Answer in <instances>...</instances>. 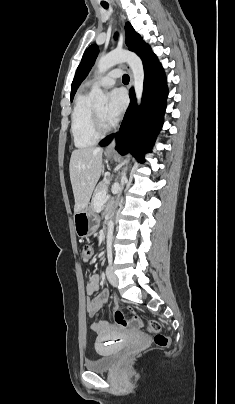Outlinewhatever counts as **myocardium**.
Returning <instances> with one entry per match:
<instances>
[{
	"label": "myocardium",
	"instance_id": "myocardium-1",
	"mask_svg": "<svg viewBox=\"0 0 235 404\" xmlns=\"http://www.w3.org/2000/svg\"><path fill=\"white\" fill-rule=\"evenodd\" d=\"M93 126L96 134L100 137L107 134L111 130V125L106 123L95 109H92Z\"/></svg>",
	"mask_w": 235,
	"mask_h": 404
}]
</instances>
